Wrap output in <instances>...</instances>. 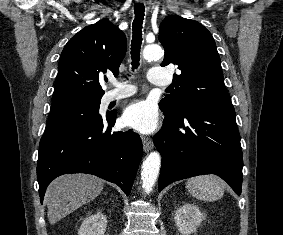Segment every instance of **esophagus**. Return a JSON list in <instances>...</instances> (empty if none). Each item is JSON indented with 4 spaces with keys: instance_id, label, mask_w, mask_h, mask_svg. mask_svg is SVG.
<instances>
[{
    "instance_id": "34e87169",
    "label": "esophagus",
    "mask_w": 283,
    "mask_h": 235,
    "mask_svg": "<svg viewBox=\"0 0 283 235\" xmlns=\"http://www.w3.org/2000/svg\"><path fill=\"white\" fill-rule=\"evenodd\" d=\"M143 149L145 152H149L153 149V141L150 137H142Z\"/></svg>"
}]
</instances>
